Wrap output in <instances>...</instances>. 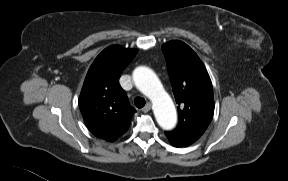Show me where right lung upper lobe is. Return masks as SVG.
Wrapping results in <instances>:
<instances>
[{"mask_svg": "<svg viewBox=\"0 0 288 181\" xmlns=\"http://www.w3.org/2000/svg\"><path fill=\"white\" fill-rule=\"evenodd\" d=\"M136 53L112 45L96 57L86 75L79 107L88 129L98 138L113 142L129 128L136 110L118 81Z\"/></svg>", "mask_w": 288, "mask_h": 181, "instance_id": "cb5924a9", "label": "right lung upper lobe"}]
</instances>
